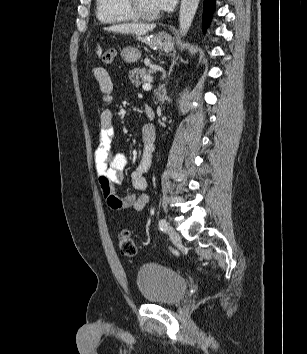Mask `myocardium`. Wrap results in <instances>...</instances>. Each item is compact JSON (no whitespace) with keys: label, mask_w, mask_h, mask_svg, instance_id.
<instances>
[{"label":"myocardium","mask_w":307,"mask_h":354,"mask_svg":"<svg viewBox=\"0 0 307 354\" xmlns=\"http://www.w3.org/2000/svg\"><path fill=\"white\" fill-rule=\"evenodd\" d=\"M125 6L129 13L136 19L141 20H154L159 17V12L156 13H147L143 11L138 5L137 0H124Z\"/></svg>","instance_id":"obj_1"}]
</instances>
